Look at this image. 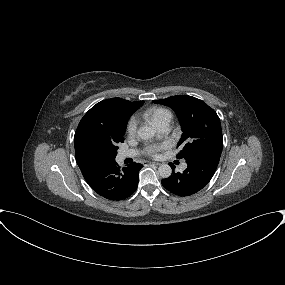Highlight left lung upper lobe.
<instances>
[{
  "mask_svg": "<svg viewBox=\"0 0 285 285\" xmlns=\"http://www.w3.org/2000/svg\"><path fill=\"white\" fill-rule=\"evenodd\" d=\"M154 103L171 107L181 124L183 134L178 143L183 149L177 158L185 160L202 153H221L223 136L217 113L202 100L187 95H176Z\"/></svg>",
  "mask_w": 285,
  "mask_h": 285,
  "instance_id": "left-lung-upper-lobe-1",
  "label": "left lung upper lobe"
}]
</instances>
